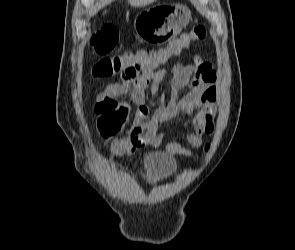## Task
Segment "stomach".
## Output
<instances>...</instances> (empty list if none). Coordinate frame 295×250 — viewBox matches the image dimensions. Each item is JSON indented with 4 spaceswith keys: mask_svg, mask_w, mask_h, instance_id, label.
<instances>
[{
    "mask_svg": "<svg viewBox=\"0 0 295 250\" xmlns=\"http://www.w3.org/2000/svg\"><path fill=\"white\" fill-rule=\"evenodd\" d=\"M191 20V11L181 4H159L144 10L136 20L137 35L148 45H163L178 35Z\"/></svg>",
    "mask_w": 295,
    "mask_h": 250,
    "instance_id": "0dacf381",
    "label": "stomach"
}]
</instances>
